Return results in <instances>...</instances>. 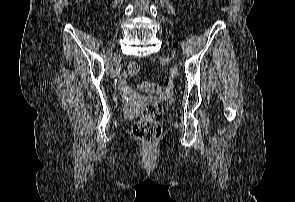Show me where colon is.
I'll return each instance as SVG.
<instances>
[{"mask_svg": "<svg viewBox=\"0 0 295 202\" xmlns=\"http://www.w3.org/2000/svg\"><path fill=\"white\" fill-rule=\"evenodd\" d=\"M140 72V65L136 62H132L128 65V74L131 77H135ZM138 88L145 92H154L162 94L164 88L156 83L152 82H140ZM162 117V106L158 102H152V107H144L141 111L140 118L133 125L132 133L135 138L140 140L144 144H152L161 135L162 128L160 120Z\"/></svg>", "mask_w": 295, "mask_h": 202, "instance_id": "1", "label": "colon"}]
</instances>
